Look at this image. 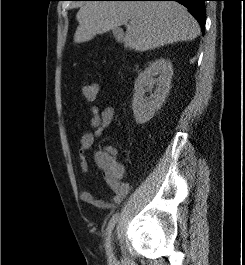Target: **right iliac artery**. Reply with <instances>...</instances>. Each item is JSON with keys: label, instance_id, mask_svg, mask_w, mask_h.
<instances>
[{"label": "right iliac artery", "instance_id": "82829eb1", "mask_svg": "<svg viewBox=\"0 0 245 265\" xmlns=\"http://www.w3.org/2000/svg\"><path fill=\"white\" fill-rule=\"evenodd\" d=\"M117 220H118V213H115V214L112 216V218L110 219V221H109V223H108V226H107V229H106V231H107V232H106V241L109 240V237H110V235H111V232H112V230H113V228H114V226H115ZM106 247H108L107 242H106Z\"/></svg>", "mask_w": 245, "mask_h": 265}]
</instances>
